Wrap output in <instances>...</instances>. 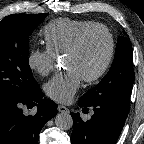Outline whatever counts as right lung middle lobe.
<instances>
[{"label": "right lung middle lobe", "mask_w": 144, "mask_h": 144, "mask_svg": "<svg viewBox=\"0 0 144 144\" xmlns=\"http://www.w3.org/2000/svg\"><path fill=\"white\" fill-rule=\"evenodd\" d=\"M47 15L13 14L0 21V102L23 99L40 89L28 63V43Z\"/></svg>", "instance_id": "right-lung-middle-lobe-1"}]
</instances>
